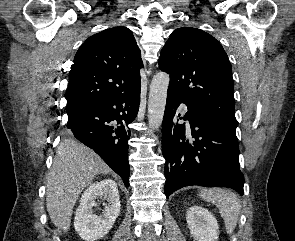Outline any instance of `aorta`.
<instances>
[{
	"mask_svg": "<svg viewBox=\"0 0 295 241\" xmlns=\"http://www.w3.org/2000/svg\"><path fill=\"white\" fill-rule=\"evenodd\" d=\"M169 81V75L165 72H158L151 81L148 99V123L151 132L157 131L162 124Z\"/></svg>",
	"mask_w": 295,
	"mask_h": 241,
	"instance_id": "1",
	"label": "aorta"
}]
</instances>
